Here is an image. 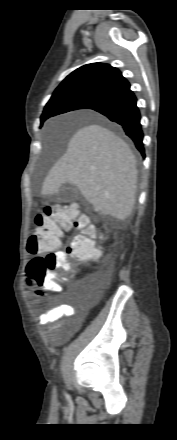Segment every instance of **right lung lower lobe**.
Segmentation results:
<instances>
[{"instance_id": "1", "label": "right lung lower lobe", "mask_w": 177, "mask_h": 440, "mask_svg": "<svg viewBox=\"0 0 177 440\" xmlns=\"http://www.w3.org/2000/svg\"><path fill=\"white\" fill-rule=\"evenodd\" d=\"M137 99L130 86L104 96L87 105L91 109L122 126L125 134L134 142L136 148L145 157L143 131L140 124V111L136 105Z\"/></svg>"}]
</instances>
